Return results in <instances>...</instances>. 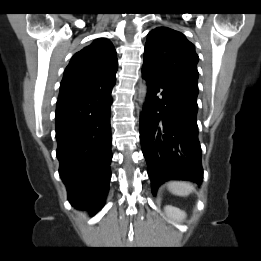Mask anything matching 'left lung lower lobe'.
<instances>
[{"instance_id":"left-lung-lower-lobe-1","label":"left lung lower lobe","mask_w":261,"mask_h":261,"mask_svg":"<svg viewBox=\"0 0 261 261\" xmlns=\"http://www.w3.org/2000/svg\"><path fill=\"white\" fill-rule=\"evenodd\" d=\"M148 90L140 117V140L152 193L170 179L200 184L198 91L142 67Z\"/></svg>"}]
</instances>
